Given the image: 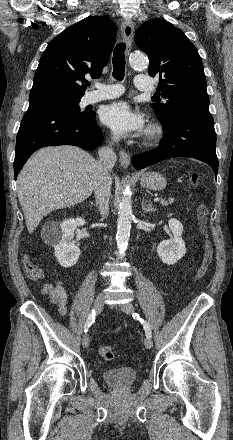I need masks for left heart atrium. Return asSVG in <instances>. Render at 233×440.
<instances>
[{"instance_id":"obj_1","label":"left heart atrium","mask_w":233,"mask_h":440,"mask_svg":"<svg viewBox=\"0 0 233 440\" xmlns=\"http://www.w3.org/2000/svg\"><path fill=\"white\" fill-rule=\"evenodd\" d=\"M102 122L122 136L139 134L144 130L142 115L123 101L107 106L102 112Z\"/></svg>"}]
</instances>
